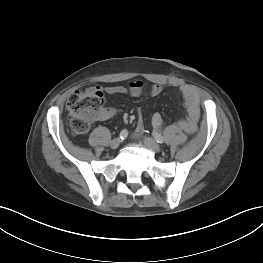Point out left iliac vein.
Instances as JSON below:
<instances>
[{
    "instance_id": "4c4485c4",
    "label": "left iliac vein",
    "mask_w": 263,
    "mask_h": 263,
    "mask_svg": "<svg viewBox=\"0 0 263 263\" xmlns=\"http://www.w3.org/2000/svg\"><path fill=\"white\" fill-rule=\"evenodd\" d=\"M144 144L153 152H160L161 151V147L160 145L153 139L149 138V137H145L143 139Z\"/></svg>"
}]
</instances>
